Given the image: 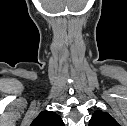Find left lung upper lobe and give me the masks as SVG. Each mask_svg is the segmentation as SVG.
Instances as JSON below:
<instances>
[{"instance_id":"1","label":"left lung upper lobe","mask_w":127,"mask_h":126,"mask_svg":"<svg viewBox=\"0 0 127 126\" xmlns=\"http://www.w3.org/2000/svg\"><path fill=\"white\" fill-rule=\"evenodd\" d=\"M89 126H120L116 120L108 113L101 110L94 112L89 121Z\"/></svg>"}]
</instances>
